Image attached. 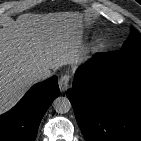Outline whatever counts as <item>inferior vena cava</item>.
Returning a JSON list of instances; mask_svg holds the SVG:
<instances>
[{
  "mask_svg": "<svg viewBox=\"0 0 141 141\" xmlns=\"http://www.w3.org/2000/svg\"><path fill=\"white\" fill-rule=\"evenodd\" d=\"M34 76L38 80H45L51 76V71L47 68H39L34 72Z\"/></svg>",
  "mask_w": 141,
  "mask_h": 141,
  "instance_id": "602c4592",
  "label": "inferior vena cava"
}]
</instances>
